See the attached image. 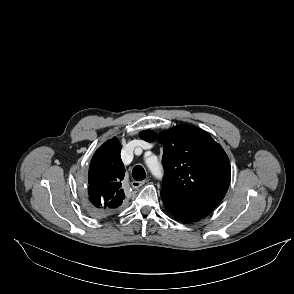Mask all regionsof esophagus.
I'll use <instances>...</instances> for the list:
<instances>
[{"label":"esophagus","mask_w":294,"mask_h":294,"mask_svg":"<svg viewBox=\"0 0 294 294\" xmlns=\"http://www.w3.org/2000/svg\"><path fill=\"white\" fill-rule=\"evenodd\" d=\"M145 184V181H132L131 182V186L133 189H138L139 187H141L142 185Z\"/></svg>","instance_id":"esophagus-1"}]
</instances>
